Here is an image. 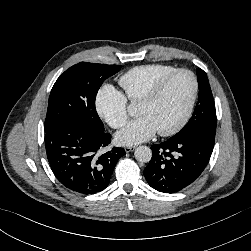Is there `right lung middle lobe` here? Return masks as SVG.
<instances>
[{
	"instance_id": "1",
	"label": "right lung middle lobe",
	"mask_w": 251,
	"mask_h": 251,
	"mask_svg": "<svg viewBox=\"0 0 251 251\" xmlns=\"http://www.w3.org/2000/svg\"><path fill=\"white\" fill-rule=\"evenodd\" d=\"M121 67L80 62L67 69L51 90L45 132L66 123H80L104 132L95 108L96 95L103 81Z\"/></svg>"
}]
</instances>
